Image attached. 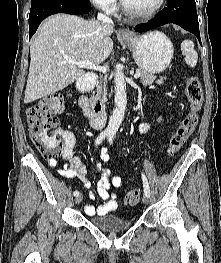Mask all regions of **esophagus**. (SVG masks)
<instances>
[{"label": "esophagus", "mask_w": 221, "mask_h": 263, "mask_svg": "<svg viewBox=\"0 0 221 263\" xmlns=\"http://www.w3.org/2000/svg\"><path fill=\"white\" fill-rule=\"evenodd\" d=\"M118 35L121 36V37H131L132 36V33L125 29V28H120L118 30Z\"/></svg>", "instance_id": "1"}]
</instances>
